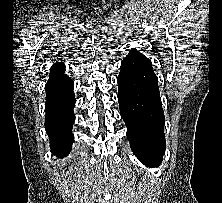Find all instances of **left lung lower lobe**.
I'll return each mask as SVG.
<instances>
[{"mask_svg": "<svg viewBox=\"0 0 222 203\" xmlns=\"http://www.w3.org/2000/svg\"><path fill=\"white\" fill-rule=\"evenodd\" d=\"M118 101L131 149L146 166L156 167L165 152L164 112L151 61L133 49L121 61Z\"/></svg>", "mask_w": 222, "mask_h": 203, "instance_id": "left-lung-lower-lobe-1", "label": "left lung lower lobe"}]
</instances>
